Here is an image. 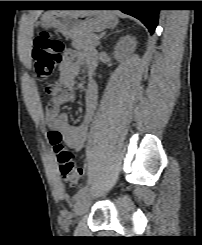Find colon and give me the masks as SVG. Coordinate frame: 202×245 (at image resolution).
<instances>
[{"instance_id": "5ec220e1", "label": "colon", "mask_w": 202, "mask_h": 245, "mask_svg": "<svg viewBox=\"0 0 202 245\" xmlns=\"http://www.w3.org/2000/svg\"><path fill=\"white\" fill-rule=\"evenodd\" d=\"M62 50L61 41L51 37L46 32L34 38L32 60L35 76L38 80L45 81L51 78L62 60ZM47 93L51 94L52 88H48ZM48 138L53 146L62 178L69 184L76 186L83 171L75 164L74 154L62 144V136L57 129L51 128L48 132Z\"/></svg>"}]
</instances>
